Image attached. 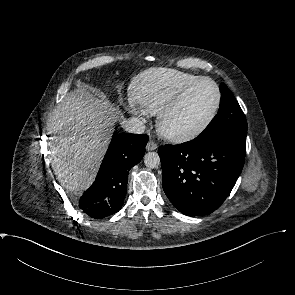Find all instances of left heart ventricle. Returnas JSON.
<instances>
[{"mask_svg":"<svg viewBox=\"0 0 295 295\" xmlns=\"http://www.w3.org/2000/svg\"><path fill=\"white\" fill-rule=\"evenodd\" d=\"M216 100L217 92L214 86L208 81L199 82L166 118V132L181 135L195 130L208 119Z\"/></svg>","mask_w":295,"mask_h":295,"instance_id":"left-heart-ventricle-1","label":"left heart ventricle"}]
</instances>
